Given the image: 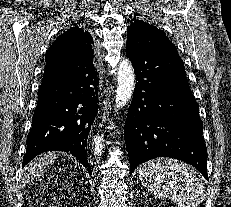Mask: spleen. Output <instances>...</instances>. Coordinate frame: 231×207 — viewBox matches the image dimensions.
I'll return each mask as SVG.
<instances>
[{
	"label": "spleen",
	"mask_w": 231,
	"mask_h": 207,
	"mask_svg": "<svg viewBox=\"0 0 231 207\" xmlns=\"http://www.w3.org/2000/svg\"><path fill=\"white\" fill-rule=\"evenodd\" d=\"M138 171L143 185L159 198H170L181 207H198L204 199L196 173L177 160H151Z\"/></svg>",
	"instance_id": "3e777b00"
}]
</instances>
